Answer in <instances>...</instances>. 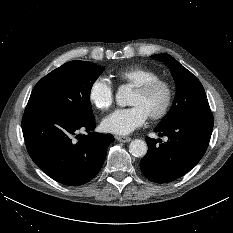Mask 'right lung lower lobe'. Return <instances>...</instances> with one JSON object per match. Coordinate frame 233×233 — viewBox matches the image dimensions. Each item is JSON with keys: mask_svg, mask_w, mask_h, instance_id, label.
I'll use <instances>...</instances> for the list:
<instances>
[{"mask_svg": "<svg viewBox=\"0 0 233 233\" xmlns=\"http://www.w3.org/2000/svg\"><path fill=\"white\" fill-rule=\"evenodd\" d=\"M94 128L95 119L83 121L45 107L27 106L22 118L23 135L32 160L49 177L69 186L82 185L94 178L114 141L111 134L91 132ZM84 130L88 135L79 134Z\"/></svg>", "mask_w": 233, "mask_h": 233, "instance_id": "1", "label": "right lung lower lobe"}]
</instances>
